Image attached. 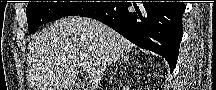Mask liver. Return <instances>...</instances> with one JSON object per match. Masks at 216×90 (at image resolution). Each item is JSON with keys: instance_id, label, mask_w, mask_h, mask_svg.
I'll list each match as a JSON object with an SVG mask.
<instances>
[{"instance_id": "obj_1", "label": "liver", "mask_w": 216, "mask_h": 90, "mask_svg": "<svg viewBox=\"0 0 216 90\" xmlns=\"http://www.w3.org/2000/svg\"><path fill=\"white\" fill-rule=\"evenodd\" d=\"M134 44L105 24L70 16L33 36L28 46L26 82L31 90H69L79 70H88L83 90H98L106 66L132 52Z\"/></svg>"}]
</instances>
